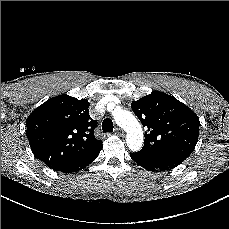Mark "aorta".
I'll list each match as a JSON object with an SVG mask.
<instances>
[{
	"instance_id": "obj_1",
	"label": "aorta",
	"mask_w": 229,
	"mask_h": 229,
	"mask_svg": "<svg viewBox=\"0 0 229 229\" xmlns=\"http://www.w3.org/2000/svg\"><path fill=\"white\" fill-rule=\"evenodd\" d=\"M115 122L127 131L126 144L131 151H139L143 145L142 128L135 116L124 109L113 112Z\"/></svg>"
}]
</instances>
